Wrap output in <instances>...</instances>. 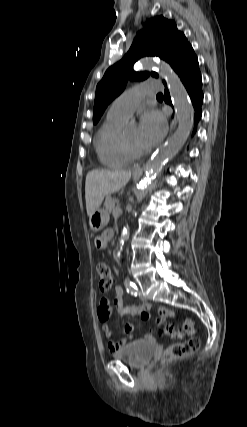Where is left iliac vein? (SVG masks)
Segmentation results:
<instances>
[{
  "label": "left iliac vein",
  "instance_id": "left-iliac-vein-1",
  "mask_svg": "<svg viewBox=\"0 0 247 427\" xmlns=\"http://www.w3.org/2000/svg\"><path fill=\"white\" fill-rule=\"evenodd\" d=\"M138 295H139V298L141 300H147L148 299L147 296H145L141 291L138 292Z\"/></svg>",
  "mask_w": 247,
  "mask_h": 427
}]
</instances>
